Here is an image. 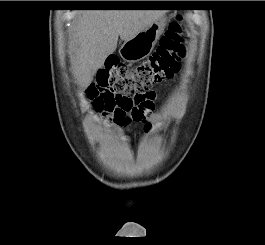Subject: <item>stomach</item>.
<instances>
[{"label":"stomach","mask_w":265,"mask_h":245,"mask_svg":"<svg viewBox=\"0 0 265 245\" xmlns=\"http://www.w3.org/2000/svg\"><path fill=\"white\" fill-rule=\"evenodd\" d=\"M165 26L166 18L162 16L133 38L125 41L119 48L121 58L134 63L149 56L164 32Z\"/></svg>","instance_id":"stomach-1"}]
</instances>
